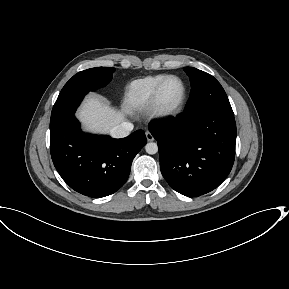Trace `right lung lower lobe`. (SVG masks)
I'll return each instance as SVG.
<instances>
[{"label":"right lung lower lobe","mask_w":289,"mask_h":289,"mask_svg":"<svg viewBox=\"0 0 289 289\" xmlns=\"http://www.w3.org/2000/svg\"><path fill=\"white\" fill-rule=\"evenodd\" d=\"M146 142L142 130L123 139L86 134L74 115L50 130L51 157L62 179L73 190L96 198L124 185L134 157Z\"/></svg>","instance_id":"98d812e1"}]
</instances>
